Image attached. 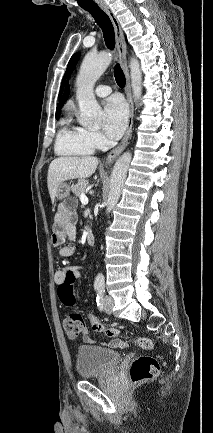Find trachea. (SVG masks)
I'll list each match as a JSON object with an SVG mask.
<instances>
[{
    "label": "trachea",
    "mask_w": 213,
    "mask_h": 433,
    "mask_svg": "<svg viewBox=\"0 0 213 433\" xmlns=\"http://www.w3.org/2000/svg\"><path fill=\"white\" fill-rule=\"evenodd\" d=\"M95 19L103 32L104 40L108 49L113 50L115 47V34L112 22L109 16L98 6L84 8ZM115 80L120 87H124L126 80L123 70L119 64L115 65Z\"/></svg>",
    "instance_id": "1"
}]
</instances>
